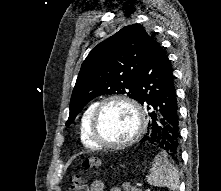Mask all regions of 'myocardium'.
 I'll use <instances>...</instances> for the list:
<instances>
[{
  "mask_svg": "<svg viewBox=\"0 0 221 191\" xmlns=\"http://www.w3.org/2000/svg\"><path fill=\"white\" fill-rule=\"evenodd\" d=\"M112 102H122L128 105L129 107H131L137 119V127L133 135L127 140L120 143L107 142L102 138L100 133L99 122L101 114L105 106ZM145 126H146L145 115L143 113L142 107L137 101L125 95H111L104 98L97 104L91 118L90 133L94 142L98 144L100 147L111 148V149H122L137 142L142 136L145 130Z\"/></svg>",
  "mask_w": 221,
  "mask_h": 191,
  "instance_id": "f54148a6",
  "label": "myocardium"
}]
</instances>
